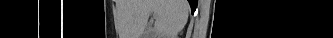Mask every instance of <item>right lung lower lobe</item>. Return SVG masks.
Returning <instances> with one entry per match:
<instances>
[{
  "mask_svg": "<svg viewBox=\"0 0 333 38\" xmlns=\"http://www.w3.org/2000/svg\"><path fill=\"white\" fill-rule=\"evenodd\" d=\"M188 1H189V3H190V6H191L192 11H194V9H195V4H196L197 1H195V0H188Z\"/></svg>",
  "mask_w": 333,
  "mask_h": 38,
  "instance_id": "1",
  "label": "right lung lower lobe"
}]
</instances>
